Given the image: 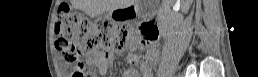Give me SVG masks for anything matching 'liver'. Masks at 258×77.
<instances>
[{
	"label": "liver",
	"mask_w": 258,
	"mask_h": 77,
	"mask_svg": "<svg viewBox=\"0 0 258 77\" xmlns=\"http://www.w3.org/2000/svg\"><path fill=\"white\" fill-rule=\"evenodd\" d=\"M136 0H72L75 8L83 11L90 17L102 15L105 12L113 11L119 8L129 7ZM171 0H164L168 4Z\"/></svg>",
	"instance_id": "obj_1"
}]
</instances>
